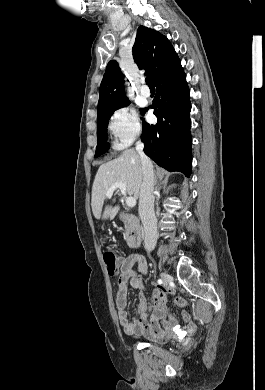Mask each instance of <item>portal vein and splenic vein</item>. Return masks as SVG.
Masks as SVG:
<instances>
[{
  "label": "portal vein and splenic vein",
  "instance_id": "1",
  "mask_svg": "<svg viewBox=\"0 0 265 390\" xmlns=\"http://www.w3.org/2000/svg\"><path fill=\"white\" fill-rule=\"evenodd\" d=\"M116 189H119L121 191V194L122 195H126V185L122 182H117L115 184H113L109 190L107 191L106 193V196L108 198H111L112 195H113V192L116 190ZM126 204L128 207H134L136 205V198L135 197H127L126 198Z\"/></svg>",
  "mask_w": 265,
  "mask_h": 390
}]
</instances>
